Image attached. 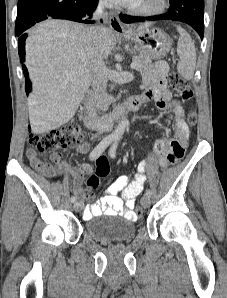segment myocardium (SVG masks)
I'll return each mask as SVG.
<instances>
[{"label":"myocardium","instance_id":"1","mask_svg":"<svg viewBox=\"0 0 227 298\" xmlns=\"http://www.w3.org/2000/svg\"><path fill=\"white\" fill-rule=\"evenodd\" d=\"M167 6V0H157L156 4L150 8L130 6L128 11L136 16L152 17L162 14Z\"/></svg>","mask_w":227,"mask_h":298}]
</instances>
